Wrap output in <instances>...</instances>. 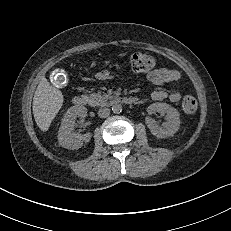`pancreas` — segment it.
Returning <instances> with one entry per match:
<instances>
[{
    "label": "pancreas",
    "mask_w": 231,
    "mask_h": 231,
    "mask_svg": "<svg viewBox=\"0 0 231 231\" xmlns=\"http://www.w3.org/2000/svg\"><path fill=\"white\" fill-rule=\"evenodd\" d=\"M112 96L108 94H102L101 92L90 94L88 97V102L91 106H101L105 105L108 100H110Z\"/></svg>",
    "instance_id": "pancreas-1"
}]
</instances>
